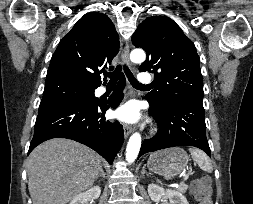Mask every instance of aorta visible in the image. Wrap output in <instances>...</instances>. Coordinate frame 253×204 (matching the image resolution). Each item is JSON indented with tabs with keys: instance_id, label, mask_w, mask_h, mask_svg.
<instances>
[{
	"instance_id": "762f6f07",
	"label": "aorta",
	"mask_w": 253,
	"mask_h": 204,
	"mask_svg": "<svg viewBox=\"0 0 253 204\" xmlns=\"http://www.w3.org/2000/svg\"><path fill=\"white\" fill-rule=\"evenodd\" d=\"M145 52L141 49H135L130 54V59L132 62L141 63L145 60ZM141 147V135L139 133H134L127 144L126 148V160L129 163L135 161L138 156Z\"/></svg>"
}]
</instances>
